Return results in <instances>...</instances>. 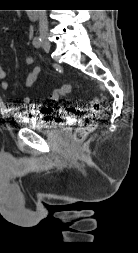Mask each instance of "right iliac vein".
I'll use <instances>...</instances> for the list:
<instances>
[{"mask_svg": "<svg viewBox=\"0 0 138 253\" xmlns=\"http://www.w3.org/2000/svg\"><path fill=\"white\" fill-rule=\"evenodd\" d=\"M45 46L50 47L49 43L45 40Z\"/></svg>", "mask_w": 138, "mask_h": 253, "instance_id": "1", "label": "right iliac vein"}]
</instances>
